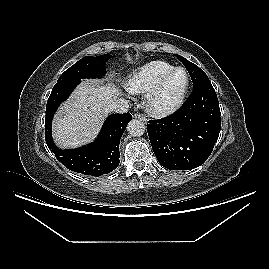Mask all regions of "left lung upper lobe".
I'll return each mask as SVG.
<instances>
[{"mask_svg": "<svg viewBox=\"0 0 269 269\" xmlns=\"http://www.w3.org/2000/svg\"><path fill=\"white\" fill-rule=\"evenodd\" d=\"M176 56L188 70L191 76V79L193 81V87H196L200 85L201 83L209 81L207 75L197 65L191 63L190 61L186 60L184 57L180 55H176Z\"/></svg>", "mask_w": 269, "mask_h": 269, "instance_id": "1", "label": "left lung upper lobe"}]
</instances>
